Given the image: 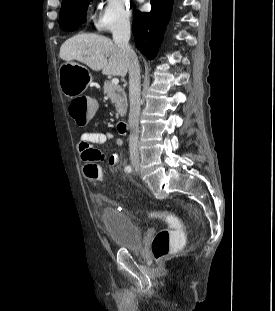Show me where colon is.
Wrapping results in <instances>:
<instances>
[{
  "label": "colon",
  "mask_w": 275,
  "mask_h": 311,
  "mask_svg": "<svg viewBox=\"0 0 275 311\" xmlns=\"http://www.w3.org/2000/svg\"><path fill=\"white\" fill-rule=\"evenodd\" d=\"M98 104H100V97L74 99L70 103V111L76 125H89L90 121H94L95 117H99ZM84 173L86 180L95 186L101 179L102 171L97 163L91 162L85 165ZM151 215L162 219L169 226L158 231L152 240L151 250L154 257L160 260L182 249L185 244V238L179 218L170 212L152 213Z\"/></svg>",
  "instance_id": "5ec220e1"
}]
</instances>
